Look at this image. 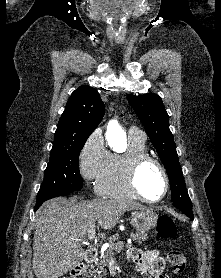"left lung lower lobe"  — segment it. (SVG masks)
<instances>
[{
  "label": "left lung lower lobe",
  "instance_id": "obj_1",
  "mask_svg": "<svg viewBox=\"0 0 221 278\" xmlns=\"http://www.w3.org/2000/svg\"><path fill=\"white\" fill-rule=\"evenodd\" d=\"M175 207H177L178 209L183 211L191 220H193L194 216H193L191 205H188V206H186V205H176Z\"/></svg>",
  "mask_w": 221,
  "mask_h": 278
}]
</instances>
